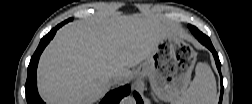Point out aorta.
I'll use <instances>...</instances> for the list:
<instances>
[{
  "instance_id": "762f6f07",
  "label": "aorta",
  "mask_w": 252,
  "mask_h": 104,
  "mask_svg": "<svg viewBox=\"0 0 252 104\" xmlns=\"http://www.w3.org/2000/svg\"><path fill=\"white\" fill-rule=\"evenodd\" d=\"M134 102H135L134 98H133V97H130V96L125 97V98L123 99V103H124V104H133Z\"/></svg>"
}]
</instances>
